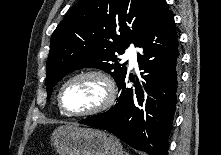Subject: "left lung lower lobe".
<instances>
[{
  "label": "left lung lower lobe",
  "mask_w": 221,
  "mask_h": 155,
  "mask_svg": "<svg viewBox=\"0 0 221 155\" xmlns=\"http://www.w3.org/2000/svg\"><path fill=\"white\" fill-rule=\"evenodd\" d=\"M142 79L127 88L118 84L117 103L107 112L79 121L106 129L133 148L149 155H167L168 137L176 108L179 51L174 17L163 3L138 40Z\"/></svg>",
  "instance_id": "obj_1"
}]
</instances>
